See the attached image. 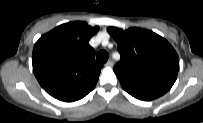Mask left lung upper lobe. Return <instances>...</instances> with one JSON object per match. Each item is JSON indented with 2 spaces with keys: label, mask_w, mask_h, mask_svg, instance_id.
I'll return each instance as SVG.
<instances>
[{
  "label": "left lung upper lobe",
  "mask_w": 203,
  "mask_h": 123,
  "mask_svg": "<svg viewBox=\"0 0 203 123\" xmlns=\"http://www.w3.org/2000/svg\"><path fill=\"white\" fill-rule=\"evenodd\" d=\"M118 44L121 61L114 67L121 85L161 96L175 83L179 58L170 43L141 28L108 27Z\"/></svg>",
  "instance_id": "5c2ea615"
}]
</instances>
